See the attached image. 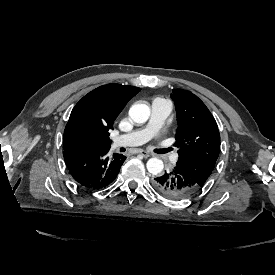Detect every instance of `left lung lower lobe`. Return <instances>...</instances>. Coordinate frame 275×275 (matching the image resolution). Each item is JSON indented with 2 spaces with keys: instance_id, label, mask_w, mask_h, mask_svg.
Instances as JSON below:
<instances>
[{
  "instance_id": "left-lung-lower-lobe-1",
  "label": "left lung lower lobe",
  "mask_w": 275,
  "mask_h": 275,
  "mask_svg": "<svg viewBox=\"0 0 275 275\" xmlns=\"http://www.w3.org/2000/svg\"><path fill=\"white\" fill-rule=\"evenodd\" d=\"M153 186L162 195L176 200L191 197L201 189V186L177 165L170 172L154 178Z\"/></svg>"
}]
</instances>
